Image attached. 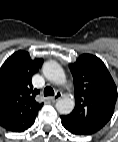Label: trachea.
<instances>
[{
  "label": "trachea",
  "mask_w": 118,
  "mask_h": 142,
  "mask_svg": "<svg viewBox=\"0 0 118 142\" xmlns=\"http://www.w3.org/2000/svg\"><path fill=\"white\" fill-rule=\"evenodd\" d=\"M54 95V90L52 87L50 86H47L45 89H44V96H52Z\"/></svg>",
  "instance_id": "3493384b"
}]
</instances>
